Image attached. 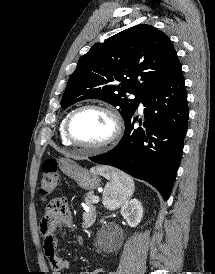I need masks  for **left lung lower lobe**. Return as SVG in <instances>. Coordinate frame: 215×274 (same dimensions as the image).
Returning a JSON list of instances; mask_svg holds the SVG:
<instances>
[{"label":"left lung lower lobe","instance_id":"obj_1","mask_svg":"<svg viewBox=\"0 0 215 274\" xmlns=\"http://www.w3.org/2000/svg\"><path fill=\"white\" fill-rule=\"evenodd\" d=\"M142 103L145 120L138 128L134 113L125 120V133L111 151L90 157L98 164L119 168L153 185L167 200L182 157L188 125L185 82L180 68L159 86L149 89Z\"/></svg>","mask_w":215,"mask_h":274}]
</instances>
